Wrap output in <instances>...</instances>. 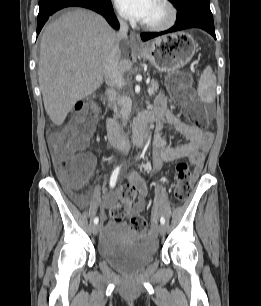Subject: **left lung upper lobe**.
Instances as JSON below:
<instances>
[{
    "label": "left lung upper lobe",
    "instance_id": "5c2ea615",
    "mask_svg": "<svg viewBox=\"0 0 261 306\" xmlns=\"http://www.w3.org/2000/svg\"><path fill=\"white\" fill-rule=\"evenodd\" d=\"M175 8H180L183 5L187 4V3H191V2H201L204 4L209 5V0H169Z\"/></svg>",
    "mask_w": 261,
    "mask_h": 306
}]
</instances>
